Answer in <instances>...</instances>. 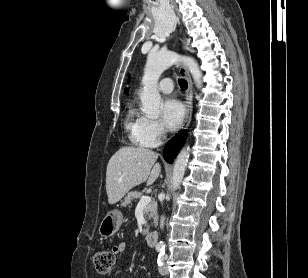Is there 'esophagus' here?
I'll return each mask as SVG.
<instances>
[{
    "mask_svg": "<svg viewBox=\"0 0 308 278\" xmlns=\"http://www.w3.org/2000/svg\"><path fill=\"white\" fill-rule=\"evenodd\" d=\"M180 74L186 79L188 83V88L186 91V103H187V114L185 117V120L181 126V129H187L191 122L192 118V111H193V105H192V100H193V84L192 80L189 74V71L186 67H181L180 68Z\"/></svg>",
    "mask_w": 308,
    "mask_h": 278,
    "instance_id": "1",
    "label": "esophagus"
}]
</instances>
